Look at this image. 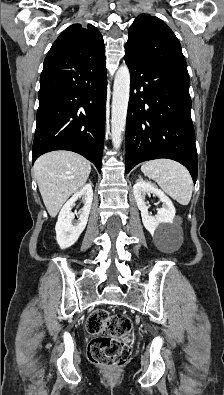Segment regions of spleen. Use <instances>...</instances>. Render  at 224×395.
Masks as SVG:
<instances>
[{"mask_svg":"<svg viewBox=\"0 0 224 395\" xmlns=\"http://www.w3.org/2000/svg\"><path fill=\"white\" fill-rule=\"evenodd\" d=\"M141 171L179 204L190 202L193 181L189 171L180 163L170 159L151 160L141 166Z\"/></svg>","mask_w":224,"mask_h":395,"instance_id":"3e777b00","label":"spleen"}]
</instances>
